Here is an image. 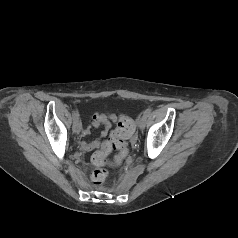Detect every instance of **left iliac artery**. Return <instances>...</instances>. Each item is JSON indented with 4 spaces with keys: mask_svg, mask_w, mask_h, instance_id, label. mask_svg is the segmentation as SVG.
<instances>
[{
    "mask_svg": "<svg viewBox=\"0 0 238 238\" xmlns=\"http://www.w3.org/2000/svg\"><path fill=\"white\" fill-rule=\"evenodd\" d=\"M151 109L150 108H148V109H146L145 111H144V113H143V116L145 117V118H147L150 114H151Z\"/></svg>",
    "mask_w": 238,
    "mask_h": 238,
    "instance_id": "obj_1",
    "label": "left iliac artery"
}]
</instances>
